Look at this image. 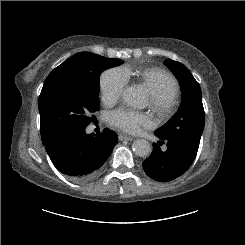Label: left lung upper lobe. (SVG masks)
<instances>
[{"label": "left lung upper lobe", "instance_id": "left-lung-upper-lobe-1", "mask_svg": "<svg viewBox=\"0 0 245 245\" xmlns=\"http://www.w3.org/2000/svg\"><path fill=\"white\" fill-rule=\"evenodd\" d=\"M177 76L182 88V104L176 114L155 134L164 138L185 140L199 147L204 129V108L198 82L180 62L167 59L164 62Z\"/></svg>", "mask_w": 245, "mask_h": 245}]
</instances>
